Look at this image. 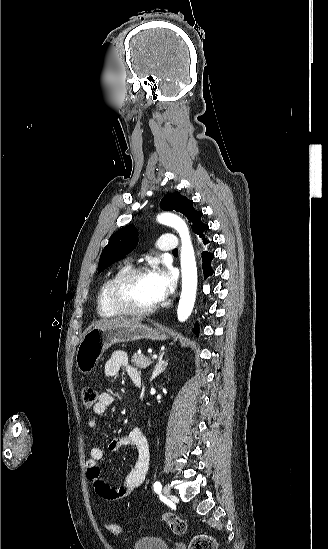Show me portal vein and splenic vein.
<instances>
[{
    "label": "portal vein and splenic vein",
    "instance_id": "18ae733b",
    "mask_svg": "<svg viewBox=\"0 0 328 549\" xmlns=\"http://www.w3.org/2000/svg\"><path fill=\"white\" fill-rule=\"evenodd\" d=\"M157 357V354H153L152 359H155Z\"/></svg>",
    "mask_w": 328,
    "mask_h": 549
}]
</instances>
